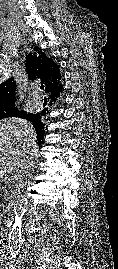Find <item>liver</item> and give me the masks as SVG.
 Wrapping results in <instances>:
<instances>
[{
  "mask_svg": "<svg viewBox=\"0 0 118 269\" xmlns=\"http://www.w3.org/2000/svg\"><path fill=\"white\" fill-rule=\"evenodd\" d=\"M38 152L36 132L24 119L10 118L0 121V172L5 177L18 173L19 165L27 153ZM0 176V180L3 178Z\"/></svg>",
  "mask_w": 118,
  "mask_h": 269,
  "instance_id": "6515ba94",
  "label": "liver"
}]
</instances>
